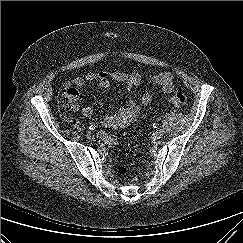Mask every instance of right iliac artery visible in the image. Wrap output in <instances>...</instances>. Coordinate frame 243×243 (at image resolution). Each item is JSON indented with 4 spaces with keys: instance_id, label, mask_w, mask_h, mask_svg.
Instances as JSON below:
<instances>
[{
    "instance_id": "82829eb1",
    "label": "right iliac artery",
    "mask_w": 243,
    "mask_h": 243,
    "mask_svg": "<svg viewBox=\"0 0 243 243\" xmlns=\"http://www.w3.org/2000/svg\"><path fill=\"white\" fill-rule=\"evenodd\" d=\"M95 128H96V126L93 125V124L89 126V129H90V130H94Z\"/></svg>"
}]
</instances>
